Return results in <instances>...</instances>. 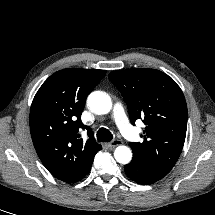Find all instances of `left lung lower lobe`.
I'll list each match as a JSON object with an SVG mask.
<instances>
[{
  "label": "left lung lower lobe",
  "instance_id": "obj_1",
  "mask_svg": "<svg viewBox=\"0 0 215 215\" xmlns=\"http://www.w3.org/2000/svg\"><path fill=\"white\" fill-rule=\"evenodd\" d=\"M124 170L130 179L142 185L153 184L167 175L165 172L145 166L134 159L125 165Z\"/></svg>",
  "mask_w": 215,
  "mask_h": 215
}]
</instances>
